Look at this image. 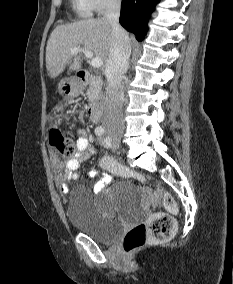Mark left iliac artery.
I'll list each match as a JSON object with an SVG mask.
<instances>
[{
	"mask_svg": "<svg viewBox=\"0 0 233 284\" xmlns=\"http://www.w3.org/2000/svg\"><path fill=\"white\" fill-rule=\"evenodd\" d=\"M104 143H105L106 147H110V138H109V137L106 138V139L104 140Z\"/></svg>",
	"mask_w": 233,
	"mask_h": 284,
	"instance_id": "1",
	"label": "left iliac artery"
}]
</instances>
